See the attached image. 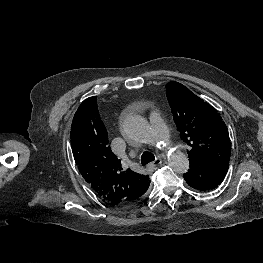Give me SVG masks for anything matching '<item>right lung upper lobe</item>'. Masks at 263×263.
<instances>
[{"label":"right lung upper lobe","instance_id":"1","mask_svg":"<svg viewBox=\"0 0 263 263\" xmlns=\"http://www.w3.org/2000/svg\"><path fill=\"white\" fill-rule=\"evenodd\" d=\"M71 147L78 169L92 189L111 206L121 207L149 187V176L127 169L108 145L107 131L100 119L96 97L84 100L71 126Z\"/></svg>","mask_w":263,"mask_h":263}]
</instances>
